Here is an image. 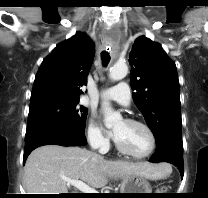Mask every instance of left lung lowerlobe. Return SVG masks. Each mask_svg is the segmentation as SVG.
Masks as SVG:
<instances>
[{"mask_svg": "<svg viewBox=\"0 0 208 198\" xmlns=\"http://www.w3.org/2000/svg\"><path fill=\"white\" fill-rule=\"evenodd\" d=\"M150 162H168L175 165L180 171L181 177L184 174L183 148L171 142H163L158 145L156 153Z\"/></svg>", "mask_w": 208, "mask_h": 198, "instance_id": "left-lung-lower-lobe-1", "label": "left lung lower lobe"}]
</instances>
